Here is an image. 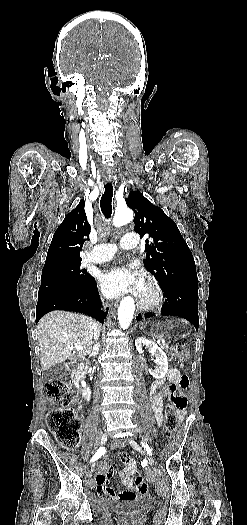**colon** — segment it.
Segmentation results:
<instances>
[{"label":"colon","mask_w":247,"mask_h":525,"mask_svg":"<svg viewBox=\"0 0 247 525\" xmlns=\"http://www.w3.org/2000/svg\"><path fill=\"white\" fill-rule=\"evenodd\" d=\"M171 356L173 362L183 366L188 360L186 350L179 344L171 345ZM179 386L186 388L189 384L188 377L183 375L179 380ZM45 394L48 398L55 400L62 408L52 409L47 415V425L54 433L57 441L66 448H76L80 440L81 419L75 409L76 394L74 390L62 379L50 380L45 384ZM187 396L184 394H173L165 412V431L169 436L177 430V413L185 410ZM135 484L139 494L148 492V484L142 473L135 476Z\"/></svg>","instance_id":"5ec220e1"}]
</instances>
